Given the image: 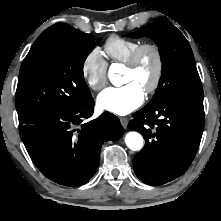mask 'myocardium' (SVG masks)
Returning a JSON list of instances; mask_svg holds the SVG:
<instances>
[{"label": "myocardium", "instance_id": "1", "mask_svg": "<svg viewBox=\"0 0 221 221\" xmlns=\"http://www.w3.org/2000/svg\"><path fill=\"white\" fill-rule=\"evenodd\" d=\"M147 52H151L155 60V71L152 81L144 89L147 94H151L158 89L163 77L164 60L159 46L154 43H142L134 50L125 65L130 70L137 69Z\"/></svg>", "mask_w": 221, "mask_h": 221}]
</instances>
